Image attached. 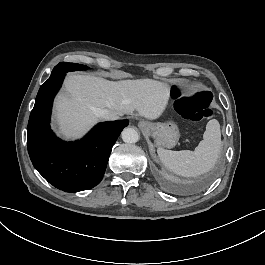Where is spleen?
<instances>
[{
  "mask_svg": "<svg viewBox=\"0 0 265 265\" xmlns=\"http://www.w3.org/2000/svg\"><path fill=\"white\" fill-rule=\"evenodd\" d=\"M220 150V124L216 119H212L206 125L203 140L194 151L158 148L157 153L160 161L169 171L183 177H198L215 166Z\"/></svg>",
  "mask_w": 265,
  "mask_h": 265,
  "instance_id": "3e777b00",
  "label": "spleen"
}]
</instances>
